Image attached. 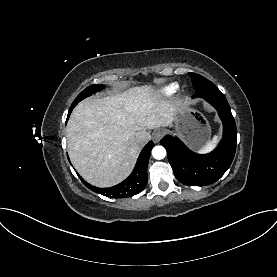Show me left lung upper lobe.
Instances as JSON below:
<instances>
[{
	"instance_id": "5c2ea615",
	"label": "left lung upper lobe",
	"mask_w": 277,
	"mask_h": 277,
	"mask_svg": "<svg viewBox=\"0 0 277 277\" xmlns=\"http://www.w3.org/2000/svg\"><path fill=\"white\" fill-rule=\"evenodd\" d=\"M188 75L191 77L192 84L194 86L196 93L205 90L218 89L211 81L199 74L188 73Z\"/></svg>"
}]
</instances>
